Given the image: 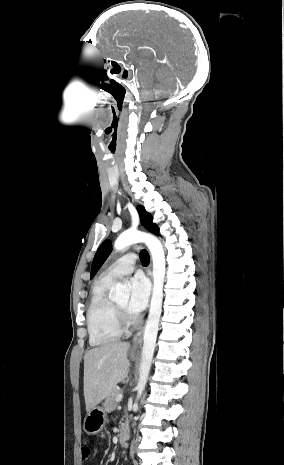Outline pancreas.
<instances>
[{"instance_id":"cf45deb5","label":"pancreas","mask_w":284,"mask_h":465,"mask_svg":"<svg viewBox=\"0 0 284 465\" xmlns=\"http://www.w3.org/2000/svg\"><path fill=\"white\" fill-rule=\"evenodd\" d=\"M121 393L122 389H116V387L108 393L107 397H105V403H103L106 413H111V411L116 409L118 403H116L115 399L118 395H121Z\"/></svg>"}]
</instances>
